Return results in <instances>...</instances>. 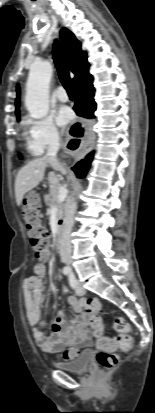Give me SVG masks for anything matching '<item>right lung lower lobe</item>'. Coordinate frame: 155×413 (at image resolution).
Wrapping results in <instances>:
<instances>
[{
  "instance_id": "right-lung-lower-lobe-1",
  "label": "right lung lower lobe",
  "mask_w": 155,
  "mask_h": 413,
  "mask_svg": "<svg viewBox=\"0 0 155 413\" xmlns=\"http://www.w3.org/2000/svg\"><path fill=\"white\" fill-rule=\"evenodd\" d=\"M93 77L89 73L80 77L73 85L74 91L76 93V103L74 106V111L78 116L93 118L94 111L96 110V103L94 101V87L92 85ZM93 153L86 155L84 159L78 162L72 170L75 172L77 177H85L91 161Z\"/></svg>"
}]
</instances>
